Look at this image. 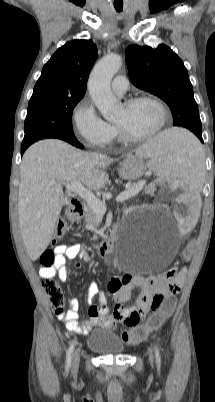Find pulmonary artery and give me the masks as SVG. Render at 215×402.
<instances>
[{"mask_svg":"<svg viewBox=\"0 0 215 402\" xmlns=\"http://www.w3.org/2000/svg\"><path fill=\"white\" fill-rule=\"evenodd\" d=\"M112 90L119 96H123L128 89V80L123 75L116 76L111 83Z\"/></svg>","mask_w":215,"mask_h":402,"instance_id":"pulmonary-artery-1","label":"pulmonary artery"}]
</instances>
